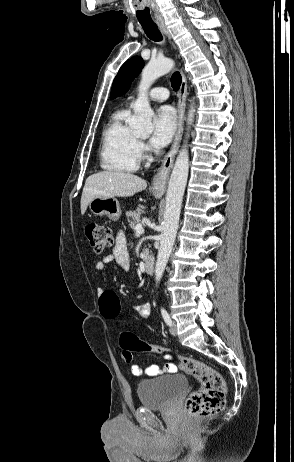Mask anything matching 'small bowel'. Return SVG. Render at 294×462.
<instances>
[{
    "label": "small bowel",
    "instance_id": "1",
    "mask_svg": "<svg viewBox=\"0 0 294 462\" xmlns=\"http://www.w3.org/2000/svg\"><path fill=\"white\" fill-rule=\"evenodd\" d=\"M115 262L123 270H128L130 268V257L127 249L126 239L122 233H119L116 238V243L111 254L103 257L102 260L96 263V269L98 271H103L105 265L108 263ZM104 292L103 288L98 289V293L102 294ZM134 312L142 319L148 320L151 314V304L149 302L135 304L132 306ZM165 350L164 348H162ZM165 358L167 363L163 368H160L158 365L150 364L145 369L140 365L133 364L131 365V373L135 376H141L143 373L147 376H157L163 373H176L178 371L177 365L172 361V356L168 352H165Z\"/></svg>",
    "mask_w": 294,
    "mask_h": 462
}]
</instances>
